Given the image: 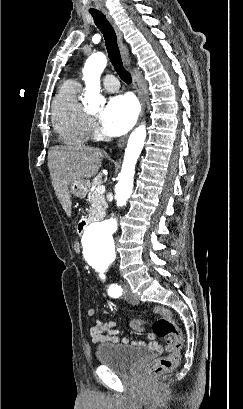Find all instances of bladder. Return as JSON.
I'll return each mask as SVG.
<instances>
[{
  "label": "bladder",
  "mask_w": 243,
  "mask_h": 409,
  "mask_svg": "<svg viewBox=\"0 0 243 409\" xmlns=\"http://www.w3.org/2000/svg\"><path fill=\"white\" fill-rule=\"evenodd\" d=\"M150 356L151 351L126 344H104L96 349L98 362L119 373L130 372Z\"/></svg>",
  "instance_id": "1"
}]
</instances>
